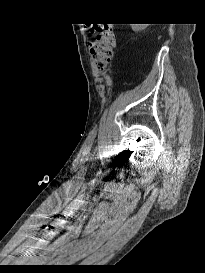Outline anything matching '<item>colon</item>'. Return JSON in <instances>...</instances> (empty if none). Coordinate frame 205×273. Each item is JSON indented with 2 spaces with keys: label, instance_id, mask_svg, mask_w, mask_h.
I'll list each match as a JSON object with an SVG mask.
<instances>
[{
  "label": "colon",
  "instance_id": "1",
  "mask_svg": "<svg viewBox=\"0 0 205 273\" xmlns=\"http://www.w3.org/2000/svg\"><path fill=\"white\" fill-rule=\"evenodd\" d=\"M115 46V34L113 25H97L94 37L89 42L91 60L98 74H102L109 65L113 48Z\"/></svg>",
  "mask_w": 205,
  "mask_h": 273
}]
</instances>
